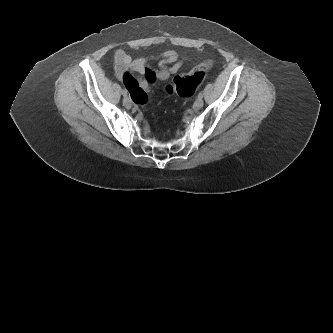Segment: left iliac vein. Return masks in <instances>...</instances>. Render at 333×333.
Returning a JSON list of instances; mask_svg holds the SVG:
<instances>
[{
    "mask_svg": "<svg viewBox=\"0 0 333 333\" xmlns=\"http://www.w3.org/2000/svg\"><path fill=\"white\" fill-rule=\"evenodd\" d=\"M202 106H203V99L198 97L193 104V109L199 110Z\"/></svg>",
    "mask_w": 333,
    "mask_h": 333,
    "instance_id": "4c4485c4",
    "label": "left iliac vein"
}]
</instances>
